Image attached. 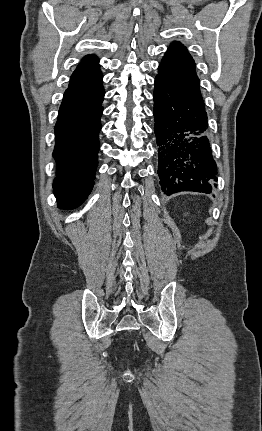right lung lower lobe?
Here are the masks:
<instances>
[{"label": "right lung lower lobe", "instance_id": "98d812e1", "mask_svg": "<svg viewBox=\"0 0 262 431\" xmlns=\"http://www.w3.org/2000/svg\"><path fill=\"white\" fill-rule=\"evenodd\" d=\"M103 86L67 89L55 125L54 194L61 209L78 207L90 194L98 164Z\"/></svg>", "mask_w": 262, "mask_h": 431}]
</instances>
